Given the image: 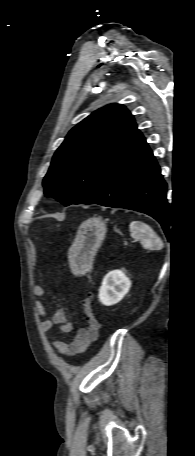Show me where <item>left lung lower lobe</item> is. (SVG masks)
<instances>
[{"instance_id":"left-lung-lower-lobe-1","label":"left lung lower lobe","mask_w":195,"mask_h":456,"mask_svg":"<svg viewBox=\"0 0 195 456\" xmlns=\"http://www.w3.org/2000/svg\"><path fill=\"white\" fill-rule=\"evenodd\" d=\"M167 184L144 136L139 132L99 190L83 204L125 208L152 216L165 225Z\"/></svg>"}]
</instances>
